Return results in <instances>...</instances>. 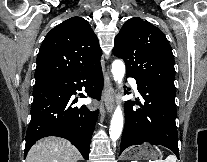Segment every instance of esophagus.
<instances>
[{
    "label": "esophagus",
    "instance_id": "esophagus-1",
    "mask_svg": "<svg viewBox=\"0 0 207 162\" xmlns=\"http://www.w3.org/2000/svg\"><path fill=\"white\" fill-rule=\"evenodd\" d=\"M114 107L115 99L113 97V87L109 75L106 74L100 109L105 108L108 113H112Z\"/></svg>",
    "mask_w": 207,
    "mask_h": 162
}]
</instances>
